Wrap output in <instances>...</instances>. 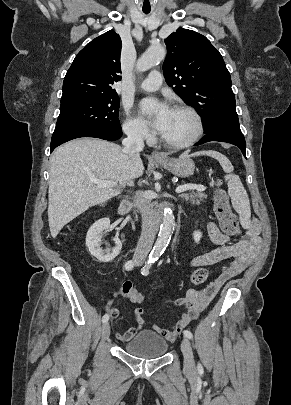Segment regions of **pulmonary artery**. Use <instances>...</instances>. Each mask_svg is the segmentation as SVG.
Listing matches in <instances>:
<instances>
[{"label":"pulmonary artery","mask_w":291,"mask_h":405,"mask_svg":"<svg viewBox=\"0 0 291 405\" xmlns=\"http://www.w3.org/2000/svg\"><path fill=\"white\" fill-rule=\"evenodd\" d=\"M162 75L159 71H152L148 77L142 81L140 88L144 91H156L162 85Z\"/></svg>","instance_id":"obj_1"}]
</instances>
